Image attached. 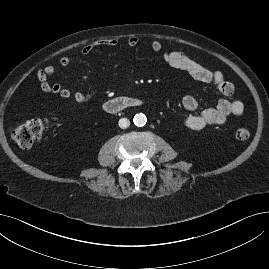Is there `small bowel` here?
<instances>
[{
	"mask_svg": "<svg viewBox=\"0 0 269 269\" xmlns=\"http://www.w3.org/2000/svg\"><path fill=\"white\" fill-rule=\"evenodd\" d=\"M136 37L127 39V46L134 48L138 45ZM118 40L115 38L103 39L97 42L86 44L82 48V54L88 56L98 46L116 47ZM150 48L154 52H161L163 61L170 67L186 72L193 79L204 82L213 83L224 96H231L234 93V85L225 79L220 71H212L195 60L191 59L182 51H172L166 48L159 40H153L150 43ZM60 65L64 69L70 68V59L67 56L60 58ZM55 73L53 65H47L37 71V81L41 90L47 94H57L62 98H73L77 102H89L96 96L95 90L82 92L79 90L64 87L59 83H53L50 78ZM182 106L187 111L195 110L198 106V101L193 95L183 97ZM245 111V106L240 100L220 99L216 106L208 108L196 115H190L183 119L182 124L191 130H200L209 125H223L230 116L242 115Z\"/></svg>",
	"mask_w": 269,
	"mask_h": 269,
	"instance_id": "obj_1",
	"label": "small bowel"
}]
</instances>
